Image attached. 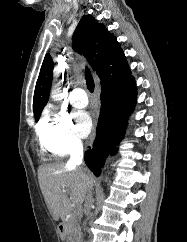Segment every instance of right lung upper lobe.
Masks as SVG:
<instances>
[{
	"label": "right lung upper lobe",
	"instance_id": "obj_1",
	"mask_svg": "<svg viewBox=\"0 0 187 242\" xmlns=\"http://www.w3.org/2000/svg\"><path fill=\"white\" fill-rule=\"evenodd\" d=\"M73 48L83 54L101 80V87L113 83L127 75L130 69L123 50L116 37L104 24L94 17L84 15L73 34ZM54 63L50 54H46L36 83L33 111L35 117L40 113L49 99Z\"/></svg>",
	"mask_w": 187,
	"mask_h": 242
}]
</instances>
